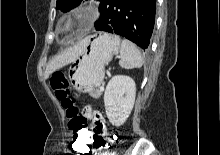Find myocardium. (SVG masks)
Returning a JSON list of instances; mask_svg holds the SVG:
<instances>
[{"label":"myocardium","mask_w":220,"mask_h":155,"mask_svg":"<svg viewBox=\"0 0 220 155\" xmlns=\"http://www.w3.org/2000/svg\"><path fill=\"white\" fill-rule=\"evenodd\" d=\"M93 10L90 7L79 8L72 12L63 14L55 26L60 35H68L82 29L91 20Z\"/></svg>","instance_id":"obj_1"}]
</instances>
